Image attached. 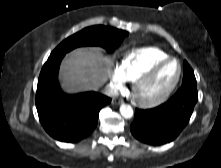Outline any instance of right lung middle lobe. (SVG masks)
I'll return each mask as SVG.
<instances>
[{"label": "right lung middle lobe", "instance_id": "1", "mask_svg": "<svg viewBox=\"0 0 221 168\" xmlns=\"http://www.w3.org/2000/svg\"><path fill=\"white\" fill-rule=\"evenodd\" d=\"M127 35L126 31L112 27L102 25L87 27L62 41L50 56L65 55L80 46H101L112 52Z\"/></svg>", "mask_w": 221, "mask_h": 168}]
</instances>
